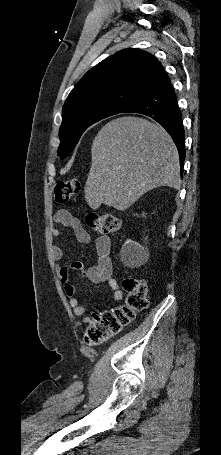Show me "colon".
Segmentation results:
<instances>
[{
  "label": "colon",
  "mask_w": 221,
  "mask_h": 455,
  "mask_svg": "<svg viewBox=\"0 0 221 455\" xmlns=\"http://www.w3.org/2000/svg\"><path fill=\"white\" fill-rule=\"evenodd\" d=\"M80 189L81 183L77 179L60 181L54 188L55 201L59 204L68 203ZM86 223L96 233L105 235L115 234L121 227L120 219L110 213H90L86 217ZM123 287L126 291V298L122 305L93 316L85 333V340L88 344L98 345L118 334L147 308V284L144 279L125 278Z\"/></svg>",
  "instance_id": "5ec220e1"
}]
</instances>
